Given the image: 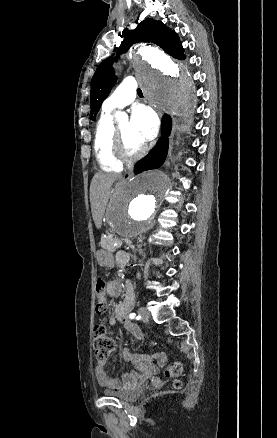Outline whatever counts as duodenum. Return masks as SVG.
<instances>
[{"label": "duodenum", "mask_w": 277, "mask_h": 438, "mask_svg": "<svg viewBox=\"0 0 277 438\" xmlns=\"http://www.w3.org/2000/svg\"><path fill=\"white\" fill-rule=\"evenodd\" d=\"M129 260V255L126 252H119L116 256L118 266H124Z\"/></svg>", "instance_id": "410a0bca"}]
</instances>
